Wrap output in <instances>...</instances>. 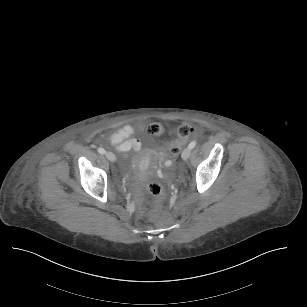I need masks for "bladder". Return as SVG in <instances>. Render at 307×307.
Returning <instances> with one entry per match:
<instances>
[{
	"label": "bladder",
	"instance_id": "31cf9c89",
	"mask_svg": "<svg viewBox=\"0 0 307 307\" xmlns=\"http://www.w3.org/2000/svg\"><path fill=\"white\" fill-rule=\"evenodd\" d=\"M135 161L136 154H129L124 158L123 163L125 164V166L131 167L135 163Z\"/></svg>",
	"mask_w": 307,
	"mask_h": 307
}]
</instances>
